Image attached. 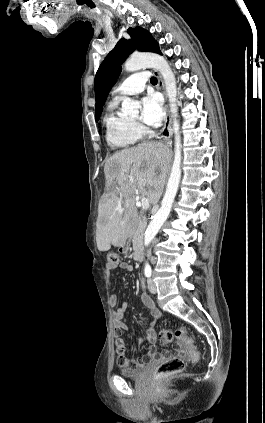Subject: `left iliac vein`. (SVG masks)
<instances>
[{"label":"left iliac vein","instance_id":"1","mask_svg":"<svg viewBox=\"0 0 265 423\" xmlns=\"http://www.w3.org/2000/svg\"><path fill=\"white\" fill-rule=\"evenodd\" d=\"M148 289L152 294H155L157 292L155 283L152 279H148Z\"/></svg>","mask_w":265,"mask_h":423}]
</instances>
